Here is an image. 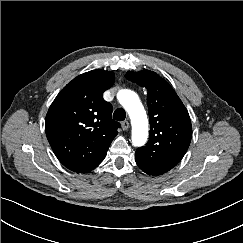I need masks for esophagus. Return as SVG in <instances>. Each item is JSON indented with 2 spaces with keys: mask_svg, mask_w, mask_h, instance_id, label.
Segmentation results:
<instances>
[{
  "mask_svg": "<svg viewBox=\"0 0 243 243\" xmlns=\"http://www.w3.org/2000/svg\"><path fill=\"white\" fill-rule=\"evenodd\" d=\"M121 126H122V129L125 131V130H128L129 128V122L128 121H123L121 123Z\"/></svg>",
  "mask_w": 243,
  "mask_h": 243,
  "instance_id": "esophagus-1",
  "label": "esophagus"
}]
</instances>
